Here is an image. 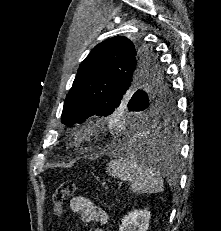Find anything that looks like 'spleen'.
I'll list each match as a JSON object with an SVG mask.
<instances>
[{
	"instance_id": "obj_1",
	"label": "spleen",
	"mask_w": 221,
	"mask_h": 231,
	"mask_svg": "<svg viewBox=\"0 0 221 231\" xmlns=\"http://www.w3.org/2000/svg\"><path fill=\"white\" fill-rule=\"evenodd\" d=\"M107 172L111 176L131 182L130 188L134 193H159L163 191V180L160 173L144 162L140 163L133 156L122 160H111Z\"/></svg>"
}]
</instances>
